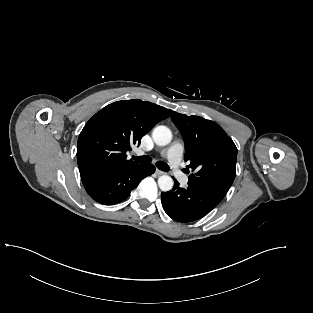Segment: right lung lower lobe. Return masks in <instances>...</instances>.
I'll use <instances>...</instances> for the list:
<instances>
[{"mask_svg": "<svg viewBox=\"0 0 313 313\" xmlns=\"http://www.w3.org/2000/svg\"><path fill=\"white\" fill-rule=\"evenodd\" d=\"M154 172L155 167L148 164L93 174L81 179L87 193L95 201L103 205H114L125 200L143 178Z\"/></svg>", "mask_w": 313, "mask_h": 313, "instance_id": "right-lung-lower-lobe-1", "label": "right lung lower lobe"}]
</instances>
